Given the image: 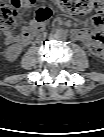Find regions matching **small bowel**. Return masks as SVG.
Masks as SVG:
<instances>
[{"instance_id":"obj_1","label":"small bowel","mask_w":104,"mask_h":137,"mask_svg":"<svg viewBox=\"0 0 104 137\" xmlns=\"http://www.w3.org/2000/svg\"><path fill=\"white\" fill-rule=\"evenodd\" d=\"M60 22L64 23V21L62 19L60 20ZM36 27H40L38 22L36 20L31 21L29 26L23 27L20 35L16 36L11 33L6 34L5 43L6 44H15V45H18L19 47L26 46L32 39V37H31L32 30ZM73 37H74V39L79 40L82 43H84L92 51V53L95 56H97V57L102 56V52L97 53L94 51L93 45L96 43V41L93 39L92 34L89 31H87L83 28H78V29L74 30Z\"/></svg>"}]
</instances>
